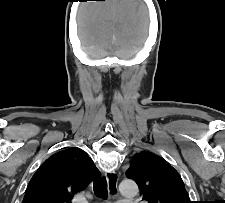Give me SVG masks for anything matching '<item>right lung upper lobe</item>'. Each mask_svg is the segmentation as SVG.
I'll use <instances>...</instances> for the list:
<instances>
[{"label":"right lung upper lobe","instance_id":"obj_1","mask_svg":"<svg viewBox=\"0 0 225 203\" xmlns=\"http://www.w3.org/2000/svg\"><path fill=\"white\" fill-rule=\"evenodd\" d=\"M99 171L79 148L62 150L49 157L30 180L22 203H71Z\"/></svg>","mask_w":225,"mask_h":203}]
</instances>
